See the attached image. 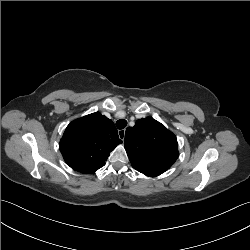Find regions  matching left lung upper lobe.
Returning a JSON list of instances; mask_svg holds the SVG:
<instances>
[{
	"label": "left lung upper lobe",
	"mask_w": 250,
	"mask_h": 250,
	"mask_svg": "<svg viewBox=\"0 0 250 250\" xmlns=\"http://www.w3.org/2000/svg\"><path fill=\"white\" fill-rule=\"evenodd\" d=\"M124 146L133 168L152 177L169 169L179 156L176 136L151 117L127 128Z\"/></svg>",
	"instance_id": "5c2ea615"
}]
</instances>
